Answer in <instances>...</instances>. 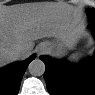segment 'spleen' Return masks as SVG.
<instances>
[{
	"label": "spleen",
	"mask_w": 95,
	"mask_h": 95,
	"mask_svg": "<svg viewBox=\"0 0 95 95\" xmlns=\"http://www.w3.org/2000/svg\"><path fill=\"white\" fill-rule=\"evenodd\" d=\"M82 58V53L81 52H76V53H73L69 58L68 60L72 63H78Z\"/></svg>",
	"instance_id": "obj_1"
}]
</instances>
